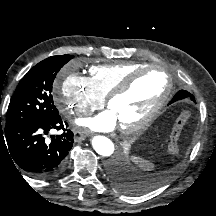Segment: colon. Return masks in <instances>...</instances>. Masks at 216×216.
<instances>
[{"label": "colon", "instance_id": "1", "mask_svg": "<svg viewBox=\"0 0 216 216\" xmlns=\"http://www.w3.org/2000/svg\"><path fill=\"white\" fill-rule=\"evenodd\" d=\"M190 118V111H182L175 120L174 127L171 134V140L168 146V151L171 154H176L179 151V140L183 127Z\"/></svg>", "mask_w": 216, "mask_h": 216}]
</instances>
